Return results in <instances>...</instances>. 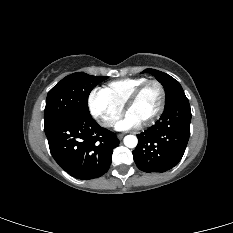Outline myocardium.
<instances>
[{
    "instance_id": "myocardium-1",
    "label": "myocardium",
    "mask_w": 233,
    "mask_h": 233,
    "mask_svg": "<svg viewBox=\"0 0 233 233\" xmlns=\"http://www.w3.org/2000/svg\"><path fill=\"white\" fill-rule=\"evenodd\" d=\"M151 84L158 86V88L160 90V104H159V107L156 110V112L148 120L140 123V126H142V127H148V126L154 124L157 121V119L162 115V113L164 111L165 103H166V91H165L163 84L161 82H159L158 80L145 81L144 83L139 85L130 94V96L128 97V99L126 100V102L124 104L125 112L128 113V110L136 102V100L139 98V96L143 92V90Z\"/></svg>"
}]
</instances>
